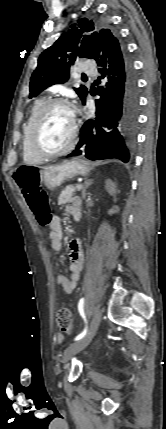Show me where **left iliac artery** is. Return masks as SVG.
Segmentation results:
<instances>
[{
  "label": "left iliac artery",
  "instance_id": "1",
  "mask_svg": "<svg viewBox=\"0 0 166 429\" xmlns=\"http://www.w3.org/2000/svg\"><path fill=\"white\" fill-rule=\"evenodd\" d=\"M78 310H79V312H80V315L82 316V318L84 319V321H85V323L87 324V320H86V317H85V313H84V298H81L80 299V301H79V303H78ZM86 333H87V325H86V327L84 328V330L79 334V335H77L76 337H75V341H78V340H80V339H82L85 335H86Z\"/></svg>",
  "mask_w": 166,
  "mask_h": 429
}]
</instances>
